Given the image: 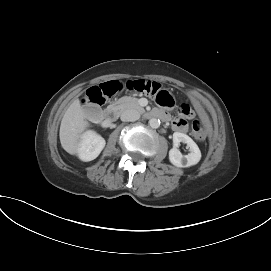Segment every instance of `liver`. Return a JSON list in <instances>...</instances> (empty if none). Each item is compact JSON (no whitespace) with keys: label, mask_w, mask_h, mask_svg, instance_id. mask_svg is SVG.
I'll return each mask as SVG.
<instances>
[{"label":"liver","mask_w":271,"mask_h":271,"mask_svg":"<svg viewBox=\"0 0 271 271\" xmlns=\"http://www.w3.org/2000/svg\"><path fill=\"white\" fill-rule=\"evenodd\" d=\"M87 127L86 115L79 99H76L66 110L60 125V142L66 152L71 155L78 153L80 142Z\"/></svg>","instance_id":"liver-1"}]
</instances>
